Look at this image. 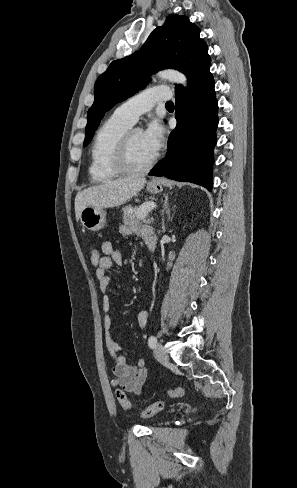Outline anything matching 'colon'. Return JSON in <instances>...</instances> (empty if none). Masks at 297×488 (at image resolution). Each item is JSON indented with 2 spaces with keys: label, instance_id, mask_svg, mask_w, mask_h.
<instances>
[{
  "label": "colon",
  "instance_id": "colon-1",
  "mask_svg": "<svg viewBox=\"0 0 297 488\" xmlns=\"http://www.w3.org/2000/svg\"><path fill=\"white\" fill-rule=\"evenodd\" d=\"M90 260H91V263L93 266H95V267L99 266V263L101 260V254L97 249H92L90 251ZM183 394H184V390L182 388L177 387V388L169 389L166 392V397L164 399L158 400L155 403H153V404L149 405L148 407H146L145 409H143L141 411V416L143 418L152 417L153 415H155L156 413H158L159 411H161L164 408L166 398H168V397L181 398L183 396ZM116 398H117V401L119 403V406L123 410L130 409V407H131L130 400L123 390L118 389L116 391Z\"/></svg>",
  "mask_w": 297,
  "mask_h": 488
}]
</instances>
